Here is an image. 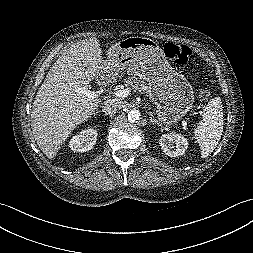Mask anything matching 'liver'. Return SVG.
Returning <instances> with one entry per match:
<instances>
[{
    "instance_id": "1",
    "label": "liver",
    "mask_w": 253,
    "mask_h": 253,
    "mask_svg": "<svg viewBox=\"0 0 253 253\" xmlns=\"http://www.w3.org/2000/svg\"><path fill=\"white\" fill-rule=\"evenodd\" d=\"M106 62L96 38L72 44L50 68L35 97L31 127L41 151L49 158L83 121L90 118L101 103L78 89H88L101 77Z\"/></svg>"
}]
</instances>
